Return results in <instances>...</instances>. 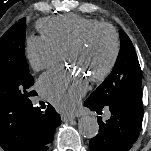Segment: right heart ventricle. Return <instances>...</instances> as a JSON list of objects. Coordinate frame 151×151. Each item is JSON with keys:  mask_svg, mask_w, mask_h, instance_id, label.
<instances>
[{"mask_svg": "<svg viewBox=\"0 0 151 151\" xmlns=\"http://www.w3.org/2000/svg\"><path fill=\"white\" fill-rule=\"evenodd\" d=\"M101 22L82 16L68 14L42 19L38 29L42 36L63 52L78 40L89 28Z\"/></svg>", "mask_w": 151, "mask_h": 151, "instance_id": "obj_1", "label": "right heart ventricle"}]
</instances>
